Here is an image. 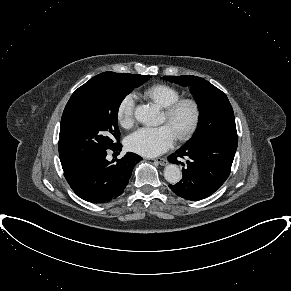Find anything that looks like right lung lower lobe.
<instances>
[{"label": "right lung lower lobe", "mask_w": 291, "mask_h": 291, "mask_svg": "<svg viewBox=\"0 0 291 291\" xmlns=\"http://www.w3.org/2000/svg\"><path fill=\"white\" fill-rule=\"evenodd\" d=\"M121 144L112 151H121ZM108 150H104L79 159L64 171V176L72 190L82 199L105 203L119 197L131 177L136 163L142 158L128 152L119 160L109 162ZM116 161V162H115Z\"/></svg>", "instance_id": "obj_1"}]
</instances>
